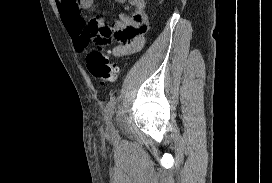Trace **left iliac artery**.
<instances>
[{
	"label": "left iliac artery",
	"mask_w": 272,
	"mask_h": 183,
	"mask_svg": "<svg viewBox=\"0 0 272 183\" xmlns=\"http://www.w3.org/2000/svg\"><path fill=\"white\" fill-rule=\"evenodd\" d=\"M115 105H116V99L111 98L105 107V119L107 121H110L112 119Z\"/></svg>",
	"instance_id": "obj_1"
}]
</instances>
